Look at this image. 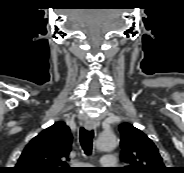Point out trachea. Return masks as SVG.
<instances>
[{
	"mask_svg": "<svg viewBox=\"0 0 184 173\" xmlns=\"http://www.w3.org/2000/svg\"><path fill=\"white\" fill-rule=\"evenodd\" d=\"M93 130L80 129V143L86 155H91L93 146Z\"/></svg>",
	"mask_w": 184,
	"mask_h": 173,
	"instance_id": "1",
	"label": "trachea"
}]
</instances>
